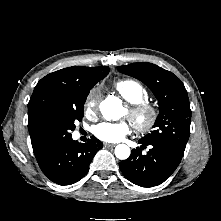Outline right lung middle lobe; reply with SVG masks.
<instances>
[{"label":"right lung middle lobe","instance_id":"obj_1","mask_svg":"<svg viewBox=\"0 0 221 221\" xmlns=\"http://www.w3.org/2000/svg\"><path fill=\"white\" fill-rule=\"evenodd\" d=\"M94 85L95 83L77 90L59 108L48 115L43 129L45 137L50 143L72 136L70 131L75 129V121H81L85 100Z\"/></svg>","mask_w":221,"mask_h":221}]
</instances>
